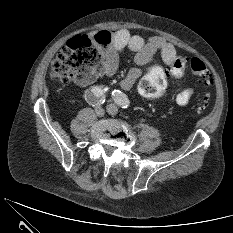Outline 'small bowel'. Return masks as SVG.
Returning <instances> with one entry per match:
<instances>
[{
    "label": "small bowel",
    "mask_w": 233,
    "mask_h": 233,
    "mask_svg": "<svg viewBox=\"0 0 233 233\" xmlns=\"http://www.w3.org/2000/svg\"><path fill=\"white\" fill-rule=\"evenodd\" d=\"M107 33L112 37V43L103 65V76H111L115 73L118 55L125 49L135 53V62L141 66L150 64L159 55L163 63L169 67L177 57L175 47L161 37L155 36L146 40L139 35L131 34L127 29H114ZM141 74V70L138 68L130 70L121 80L120 86L129 90L141 77ZM193 94V88L184 89L176 96L177 104L180 106L187 105Z\"/></svg>",
    "instance_id": "small-bowel-1"
}]
</instances>
